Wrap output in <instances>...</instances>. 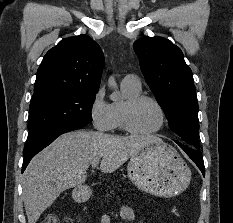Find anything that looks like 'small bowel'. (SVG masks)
Returning <instances> with one entry per match:
<instances>
[{
    "instance_id": "1",
    "label": "small bowel",
    "mask_w": 233,
    "mask_h": 223,
    "mask_svg": "<svg viewBox=\"0 0 233 223\" xmlns=\"http://www.w3.org/2000/svg\"><path fill=\"white\" fill-rule=\"evenodd\" d=\"M120 217L122 220L131 223L135 220V213L133 209L129 206H122L120 209ZM103 223H109L108 217H104ZM138 223H144L143 220H138Z\"/></svg>"
}]
</instances>
